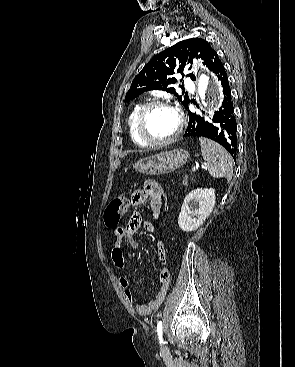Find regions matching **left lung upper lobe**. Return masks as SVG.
<instances>
[{"mask_svg":"<svg viewBox=\"0 0 295 367\" xmlns=\"http://www.w3.org/2000/svg\"><path fill=\"white\" fill-rule=\"evenodd\" d=\"M195 58H201L203 64L211 71L219 60L217 53L206 40L201 38L182 40L157 54L144 66L132 81L125 101H130L146 91L163 90L174 94L187 109L189 98L187 96L183 98L175 92L174 84L177 79L173 75L180 73L182 79L190 77L195 80L194 72L190 71L189 66Z\"/></svg>","mask_w":295,"mask_h":367,"instance_id":"5c2ea615","label":"left lung upper lobe"}]
</instances>
